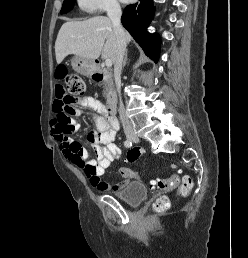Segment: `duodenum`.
<instances>
[{
	"instance_id": "410a0bca",
	"label": "duodenum",
	"mask_w": 248,
	"mask_h": 258,
	"mask_svg": "<svg viewBox=\"0 0 248 258\" xmlns=\"http://www.w3.org/2000/svg\"><path fill=\"white\" fill-rule=\"evenodd\" d=\"M92 77L95 81H101L103 79L111 78V74L103 69L98 62L94 64L92 71ZM117 109V97L115 92H110L107 97V111L109 114L114 115Z\"/></svg>"
}]
</instances>
